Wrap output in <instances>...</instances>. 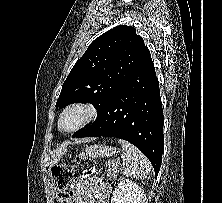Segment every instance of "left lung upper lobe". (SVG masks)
<instances>
[{
	"instance_id": "left-lung-upper-lobe-1",
	"label": "left lung upper lobe",
	"mask_w": 222,
	"mask_h": 203,
	"mask_svg": "<svg viewBox=\"0 0 222 203\" xmlns=\"http://www.w3.org/2000/svg\"><path fill=\"white\" fill-rule=\"evenodd\" d=\"M147 51L143 39L131 26H116L102 34L73 66L56 107L63 108L73 102L91 103L99 115Z\"/></svg>"
}]
</instances>
